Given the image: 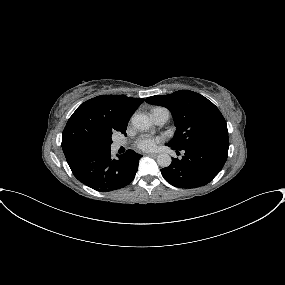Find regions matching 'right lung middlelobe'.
Returning a JSON list of instances; mask_svg holds the SVG:
<instances>
[{
  "label": "right lung middle lobe",
  "mask_w": 285,
  "mask_h": 285,
  "mask_svg": "<svg viewBox=\"0 0 285 285\" xmlns=\"http://www.w3.org/2000/svg\"><path fill=\"white\" fill-rule=\"evenodd\" d=\"M111 143H112V140L107 144L106 148H110Z\"/></svg>",
  "instance_id": "dd1d6c3e"
}]
</instances>
